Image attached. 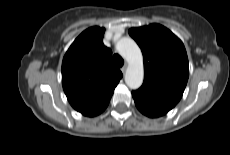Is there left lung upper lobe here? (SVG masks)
Segmentation results:
<instances>
[{
    "instance_id": "5c2ea615",
    "label": "left lung upper lobe",
    "mask_w": 230,
    "mask_h": 155,
    "mask_svg": "<svg viewBox=\"0 0 230 155\" xmlns=\"http://www.w3.org/2000/svg\"><path fill=\"white\" fill-rule=\"evenodd\" d=\"M129 34L140 46L144 59V82L137 92L174 107L189 77L182 41L159 24L131 28Z\"/></svg>"
}]
</instances>
